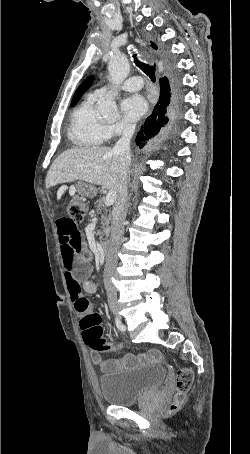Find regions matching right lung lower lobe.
Segmentation results:
<instances>
[{"instance_id": "1", "label": "right lung lower lobe", "mask_w": 250, "mask_h": 454, "mask_svg": "<svg viewBox=\"0 0 250 454\" xmlns=\"http://www.w3.org/2000/svg\"><path fill=\"white\" fill-rule=\"evenodd\" d=\"M160 97L152 114L145 120L141 131L137 134L136 144L140 148L146 143L153 141L164 131L168 123L167 114L170 112V86L167 77L160 79Z\"/></svg>"}]
</instances>
